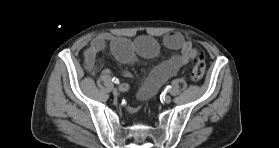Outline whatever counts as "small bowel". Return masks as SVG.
<instances>
[{"label": "small bowel", "instance_id": "1", "mask_svg": "<svg viewBox=\"0 0 279 148\" xmlns=\"http://www.w3.org/2000/svg\"><path fill=\"white\" fill-rule=\"evenodd\" d=\"M107 44H110L114 56L124 64H133L139 57L153 59L160 52L158 42L151 37L144 36L131 41L125 38L115 37L110 33L98 34L83 55V67L93 75L100 71L97 57L105 50ZM163 44L168 49L178 51V54L163 61L151 71L143 86L138 91V98L140 100H147L152 97L161 85L174 76L187 63L194 61L198 54V49L193 43L185 39L178 32L167 33L163 37ZM104 72L108 73L109 71L104 70ZM122 73L124 75L130 74L129 71L124 69ZM131 111L135 110L131 109Z\"/></svg>", "mask_w": 279, "mask_h": 148}]
</instances>
